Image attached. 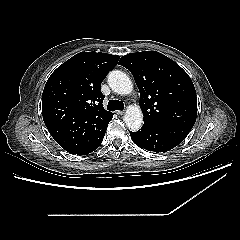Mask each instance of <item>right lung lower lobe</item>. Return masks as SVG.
<instances>
[{
	"label": "right lung lower lobe",
	"mask_w": 240,
	"mask_h": 240,
	"mask_svg": "<svg viewBox=\"0 0 240 240\" xmlns=\"http://www.w3.org/2000/svg\"><path fill=\"white\" fill-rule=\"evenodd\" d=\"M104 135H105V133H104ZM104 135L99 139V141L94 146H92L88 150H86V151H84V152H82L80 154H77V155H86V154H89V153L93 152L101 144Z\"/></svg>",
	"instance_id": "98d812e1"
}]
</instances>
